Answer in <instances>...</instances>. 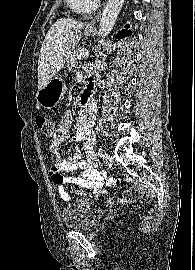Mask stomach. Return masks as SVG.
<instances>
[{"label":"stomach","instance_id":"obj_1","mask_svg":"<svg viewBox=\"0 0 195 270\" xmlns=\"http://www.w3.org/2000/svg\"><path fill=\"white\" fill-rule=\"evenodd\" d=\"M85 33L86 35H93L95 31L85 29ZM66 89L65 82L61 78L54 77L38 90L36 94L37 103L47 109L53 108L64 97Z\"/></svg>","mask_w":195,"mask_h":270}]
</instances>
